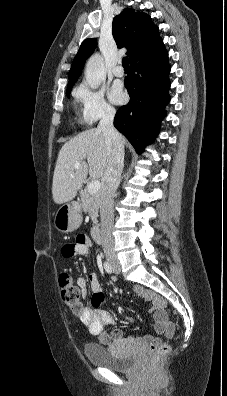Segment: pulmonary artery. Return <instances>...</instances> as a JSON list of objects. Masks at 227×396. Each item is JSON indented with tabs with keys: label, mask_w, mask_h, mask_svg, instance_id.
Here are the masks:
<instances>
[{
	"label": "pulmonary artery",
	"mask_w": 227,
	"mask_h": 396,
	"mask_svg": "<svg viewBox=\"0 0 227 396\" xmlns=\"http://www.w3.org/2000/svg\"><path fill=\"white\" fill-rule=\"evenodd\" d=\"M113 74H114L116 77H122V76L124 75V70H123V68H122L120 65H118V66H116V67L113 69Z\"/></svg>",
	"instance_id": "1"
}]
</instances>
